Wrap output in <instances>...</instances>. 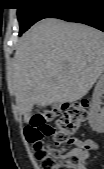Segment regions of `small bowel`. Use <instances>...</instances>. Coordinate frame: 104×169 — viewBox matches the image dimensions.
<instances>
[{
  "instance_id": "small-bowel-1",
  "label": "small bowel",
  "mask_w": 104,
  "mask_h": 169,
  "mask_svg": "<svg viewBox=\"0 0 104 169\" xmlns=\"http://www.w3.org/2000/svg\"><path fill=\"white\" fill-rule=\"evenodd\" d=\"M92 145L95 147L94 144H92ZM79 154L83 158V160H87L89 158V156H90V153H89L88 150L79 151ZM83 169H85V168L83 167Z\"/></svg>"
}]
</instances>
